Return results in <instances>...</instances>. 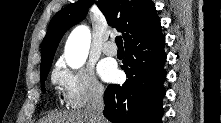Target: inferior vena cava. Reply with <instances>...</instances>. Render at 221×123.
Returning a JSON list of instances; mask_svg holds the SVG:
<instances>
[{
  "mask_svg": "<svg viewBox=\"0 0 221 123\" xmlns=\"http://www.w3.org/2000/svg\"><path fill=\"white\" fill-rule=\"evenodd\" d=\"M103 88L96 87L90 98V102L86 108V112L90 118L91 123H104L103 110H104V100H103Z\"/></svg>",
  "mask_w": 221,
  "mask_h": 123,
  "instance_id": "obj_1",
  "label": "inferior vena cava"
}]
</instances>
